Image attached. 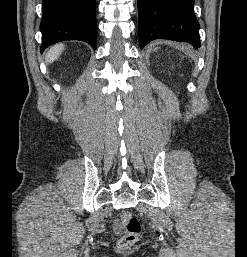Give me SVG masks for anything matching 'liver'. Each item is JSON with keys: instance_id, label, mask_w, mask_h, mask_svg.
Wrapping results in <instances>:
<instances>
[{"instance_id": "1", "label": "liver", "mask_w": 247, "mask_h": 257, "mask_svg": "<svg viewBox=\"0 0 247 257\" xmlns=\"http://www.w3.org/2000/svg\"><path fill=\"white\" fill-rule=\"evenodd\" d=\"M63 50H64L63 44H59L51 47V49L48 51L46 55V62L47 63L54 62L61 55Z\"/></svg>"}]
</instances>
